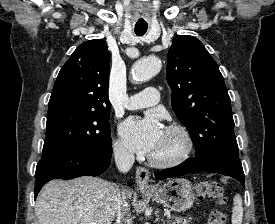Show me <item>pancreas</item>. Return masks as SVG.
<instances>
[{"label":"pancreas","instance_id":"cf45deb5","mask_svg":"<svg viewBox=\"0 0 275 224\" xmlns=\"http://www.w3.org/2000/svg\"><path fill=\"white\" fill-rule=\"evenodd\" d=\"M191 217H172V224H190Z\"/></svg>","mask_w":275,"mask_h":224}]
</instances>
